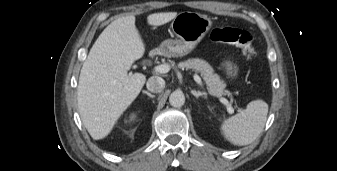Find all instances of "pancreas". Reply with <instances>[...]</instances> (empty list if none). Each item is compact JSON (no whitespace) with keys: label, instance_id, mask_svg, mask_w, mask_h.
<instances>
[{"label":"pancreas","instance_id":"cf45deb5","mask_svg":"<svg viewBox=\"0 0 337 171\" xmlns=\"http://www.w3.org/2000/svg\"><path fill=\"white\" fill-rule=\"evenodd\" d=\"M178 67L181 69H194L200 72L211 95L221 97L227 94L225 90L226 84L220 79L219 75L214 73L213 68L206 61L198 58L188 59L185 62H180Z\"/></svg>","mask_w":337,"mask_h":171}]
</instances>
